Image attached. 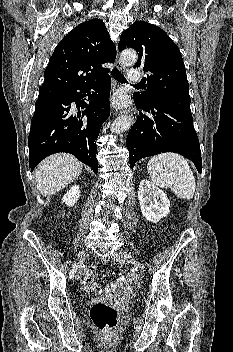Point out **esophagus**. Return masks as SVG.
<instances>
[{"instance_id":"34e87169","label":"esophagus","mask_w":233,"mask_h":352,"mask_svg":"<svg viewBox=\"0 0 233 352\" xmlns=\"http://www.w3.org/2000/svg\"><path fill=\"white\" fill-rule=\"evenodd\" d=\"M115 66H116L119 70H122V69L124 68V66L122 65V63H121V61H120V59H119V57H118V55H117V58H116V60H115ZM118 114H119V115H121V114H129V115L132 117V119H133V114H132V112H130V111H128V110H120V111L118 112Z\"/></svg>"}]
</instances>
